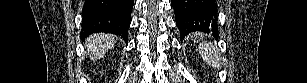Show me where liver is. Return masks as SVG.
<instances>
[{"label":"liver","mask_w":307,"mask_h":83,"mask_svg":"<svg viewBox=\"0 0 307 83\" xmlns=\"http://www.w3.org/2000/svg\"><path fill=\"white\" fill-rule=\"evenodd\" d=\"M116 42L117 37L114 35L93 34L85 41V46L90 53V59L95 61L101 59Z\"/></svg>","instance_id":"obj_1"}]
</instances>
